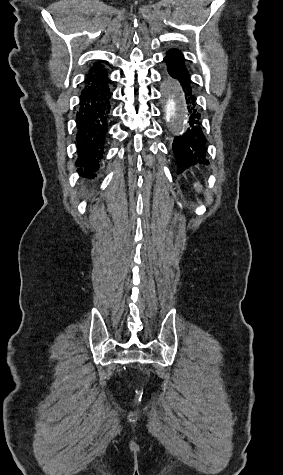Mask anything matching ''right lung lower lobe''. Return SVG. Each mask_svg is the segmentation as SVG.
Here are the masks:
<instances>
[{
  "label": "right lung lower lobe",
  "mask_w": 283,
  "mask_h": 475,
  "mask_svg": "<svg viewBox=\"0 0 283 475\" xmlns=\"http://www.w3.org/2000/svg\"><path fill=\"white\" fill-rule=\"evenodd\" d=\"M108 72L102 68L89 71L76 110V166L82 176L93 178L99 169L105 148L108 121L111 117V95ZM90 173V174H89Z\"/></svg>",
  "instance_id": "1"
}]
</instances>
